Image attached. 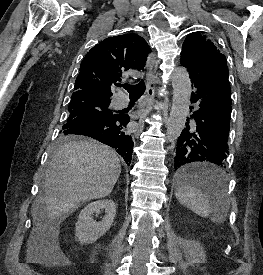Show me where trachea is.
Returning a JSON list of instances; mask_svg holds the SVG:
<instances>
[{
	"label": "trachea",
	"mask_w": 263,
	"mask_h": 275,
	"mask_svg": "<svg viewBox=\"0 0 263 275\" xmlns=\"http://www.w3.org/2000/svg\"><path fill=\"white\" fill-rule=\"evenodd\" d=\"M118 87H123L125 90L129 92L130 98H139L145 92V82L141 80L136 85H130L125 83L124 85L118 84Z\"/></svg>",
	"instance_id": "trachea-1"
}]
</instances>
